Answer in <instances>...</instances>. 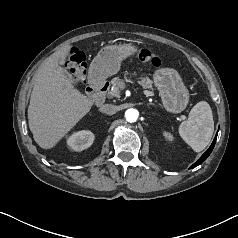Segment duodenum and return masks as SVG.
<instances>
[{
	"label": "duodenum",
	"mask_w": 238,
	"mask_h": 238,
	"mask_svg": "<svg viewBox=\"0 0 238 238\" xmlns=\"http://www.w3.org/2000/svg\"><path fill=\"white\" fill-rule=\"evenodd\" d=\"M107 89L108 82L93 73L90 78L89 85L87 87V92L90 98L95 103L100 104Z\"/></svg>",
	"instance_id": "duodenum-1"
}]
</instances>
